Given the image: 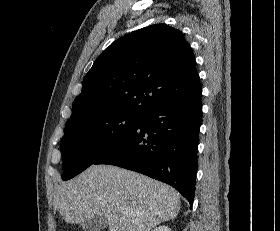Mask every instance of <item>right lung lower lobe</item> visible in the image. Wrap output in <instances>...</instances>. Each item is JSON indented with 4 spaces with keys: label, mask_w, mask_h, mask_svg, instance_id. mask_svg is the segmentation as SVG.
Here are the masks:
<instances>
[{
    "label": "right lung lower lobe",
    "mask_w": 280,
    "mask_h": 231,
    "mask_svg": "<svg viewBox=\"0 0 280 231\" xmlns=\"http://www.w3.org/2000/svg\"><path fill=\"white\" fill-rule=\"evenodd\" d=\"M202 91L161 103L142 115L137 127L94 164L147 175L195 196Z\"/></svg>",
    "instance_id": "right-lung-lower-lobe-1"
}]
</instances>
